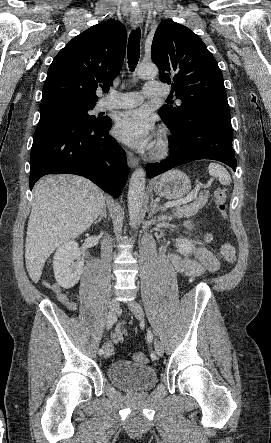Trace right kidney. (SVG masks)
Here are the masks:
<instances>
[{
  "mask_svg": "<svg viewBox=\"0 0 271 443\" xmlns=\"http://www.w3.org/2000/svg\"><path fill=\"white\" fill-rule=\"evenodd\" d=\"M77 241L70 239L54 253L53 269L56 281L61 287H73L80 279L85 259ZM76 259V261H75Z\"/></svg>",
  "mask_w": 271,
  "mask_h": 443,
  "instance_id": "ca27d5eb",
  "label": "right kidney"
}]
</instances>
